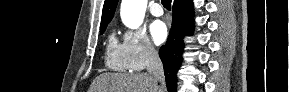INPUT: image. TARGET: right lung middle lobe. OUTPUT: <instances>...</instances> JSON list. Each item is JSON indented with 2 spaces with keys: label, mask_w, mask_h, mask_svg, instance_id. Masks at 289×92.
I'll list each match as a JSON object with an SVG mask.
<instances>
[{
  "label": "right lung middle lobe",
  "mask_w": 289,
  "mask_h": 92,
  "mask_svg": "<svg viewBox=\"0 0 289 92\" xmlns=\"http://www.w3.org/2000/svg\"><path fill=\"white\" fill-rule=\"evenodd\" d=\"M107 25L100 27V33L103 34L105 29H106Z\"/></svg>",
  "instance_id": "right-lung-middle-lobe-1"
}]
</instances>
